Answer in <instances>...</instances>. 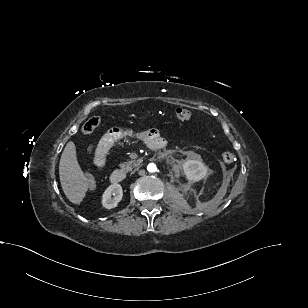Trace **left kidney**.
<instances>
[{"label": "left kidney", "mask_w": 308, "mask_h": 308, "mask_svg": "<svg viewBox=\"0 0 308 308\" xmlns=\"http://www.w3.org/2000/svg\"><path fill=\"white\" fill-rule=\"evenodd\" d=\"M183 172L190 182H198L205 178L207 168L204 163L198 159H188L182 165Z\"/></svg>", "instance_id": "5707ae66"}]
</instances>
